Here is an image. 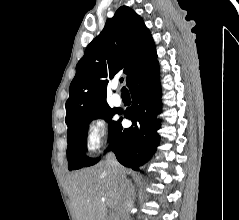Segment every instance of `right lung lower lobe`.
<instances>
[{
	"instance_id": "1",
	"label": "right lung lower lobe",
	"mask_w": 239,
	"mask_h": 220,
	"mask_svg": "<svg viewBox=\"0 0 239 220\" xmlns=\"http://www.w3.org/2000/svg\"><path fill=\"white\" fill-rule=\"evenodd\" d=\"M128 87L133 102L124 116L133 124L123 129L118 122L107 150H112L124 166L139 171L159 144L160 120L156 116L161 112V88L158 62L133 77Z\"/></svg>"
}]
</instances>
